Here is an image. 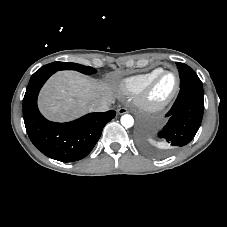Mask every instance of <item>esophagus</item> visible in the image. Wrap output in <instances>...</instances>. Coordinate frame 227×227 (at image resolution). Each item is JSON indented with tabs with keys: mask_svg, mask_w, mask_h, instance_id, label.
Segmentation results:
<instances>
[{
	"mask_svg": "<svg viewBox=\"0 0 227 227\" xmlns=\"http://www.w3.org/2000/svg\"><path fill=\"white\" fill-rule=\"evenodd\" d=\"M127 112H128V109L125 108V107H120V108L118 109V114H120V115H123V114H125V113H127Z\"/></svg>",
	"mask_w": 227,
	"mask_h": 227,
	"instance_id": "34e87169",
	"label": "esophagus"
}]
</instances>
